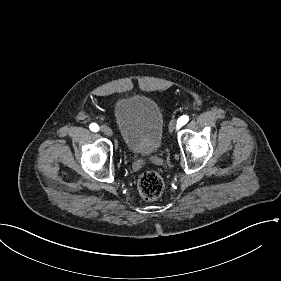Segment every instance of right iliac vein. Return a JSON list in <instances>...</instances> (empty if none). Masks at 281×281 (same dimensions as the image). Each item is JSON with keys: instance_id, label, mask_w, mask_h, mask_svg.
I'll return each mask as SVG.
<instances>
[{"instance_id": "right-iliac-vein-1", "label": "right iliac vein", "mask_w": 281, "mask_h": 281, "mask_svg": "<svg viewBox=\"0 0 281 281\" xmlns=\"http://www.w3.org/2000/svg\"><path fill=\"white\" fill-rule=\"evenodd\" d=\"M101 131L107 136H111L113 134L111 128L109 126H106V125L101 126Z\"/></svg>"}]
</instances>
